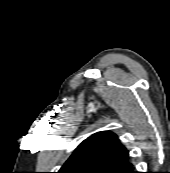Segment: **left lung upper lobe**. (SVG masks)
Returning a JSON list of instances; mask_svg holds the SVG:
<instances>
[{
	"label": "left lung upper lobe",
	"instance_id": "left-lung-upper-lobe-1",
	"mask_svg": "<svg viewBox=\"0 0 170 173\" xmlns=\"http://www.w3.org/2000/svg\"><path fill=\"white\" fill-rule=\"evenodd\" d=\"M130 165L128 150L109 131L85 139L58 173H121Z\"/></svg>",
	"mask_w": 170,
	"mask_h": 173
}]
</instances>
